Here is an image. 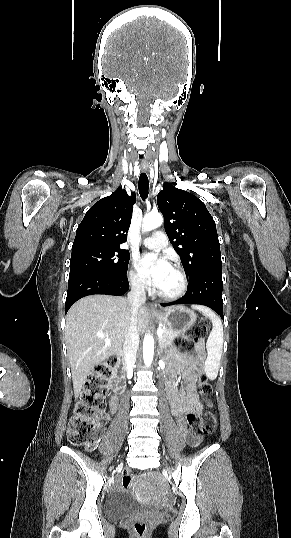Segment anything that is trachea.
I'll return each mask as SVG.
<instances>
[{
  "mask_svg": "<svg viewBox=\"0 0 291 538\" xmlns=\"http://www.w3.org/2000/svg\"><path fill=\"white\" fill-rule=\"evenodd\" d=\"M138 189L140 196L143 200L148 197L149 193V181L146 173H141L138 182Z\"/></svg>",
  "mask_w": 291,
  "mask_h": 538,
  "instance_id": "1",
  "label": "trachea"
}]
</instances>
